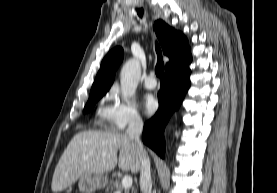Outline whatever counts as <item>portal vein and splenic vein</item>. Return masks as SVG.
Returning a JSON list of instances; mask_svg holds the SVG:
<instances>
[{"label": "portal vein and splenic vein", "instance_id": "obj_1", "mask_svg": "<svg viewBox=\"0 0 277 193\" xmlns=\"http://www.w3.org/2000/svg\"><path fill=\"white\" fill-rule=\"evenodd\" d=\"M106 156V154H103V157ZM121 186L124 189H129L132 186V178L129 175H124L122 178ZM119 193V192H117Z\"/></svg>", "mask_w": 277, "mask_h": 193}]
</instances>
